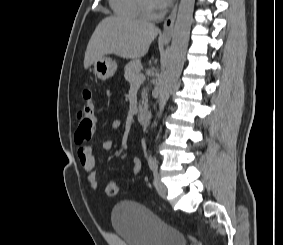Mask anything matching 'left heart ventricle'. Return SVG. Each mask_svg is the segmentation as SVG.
Wrapping results in <instances>:
<instances>
[{"label": "left heart ventricle", "mask_w": 283, "mask_h": 245, "mask_svg": "<svg viewBox=\"0 0 283 245\" xmlns=\"http://www.w3.org/2000/svg\"><path fill=\"white\" fill-rule=\"evenodd\" d=\"M145 1L150 9H154V10L159 9V7L155 4L154 0H145Z\"/></svg>", "instance_id": "obj_1"}]
</instances>
